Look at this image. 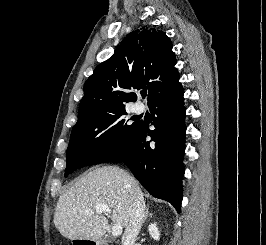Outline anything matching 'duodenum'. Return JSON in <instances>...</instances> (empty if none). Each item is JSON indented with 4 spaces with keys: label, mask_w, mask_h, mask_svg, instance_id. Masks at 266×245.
Segmentation results:
<instances>
[{
    "label": "duodenum",
    "mask_w": 266,
    "mask_h": 245,
    "mask_svg": "<svg viewBox=\"0 0 266 245\" xmlns=\"http://www.w3.org/2000/svg\"><path fill=\"white\" fill-rule=\"evenodd\" d=\"M75 245H106L104 237H74Z\"/></svg>",
    "instance_id": "410a0bca"
}]
</instances>
